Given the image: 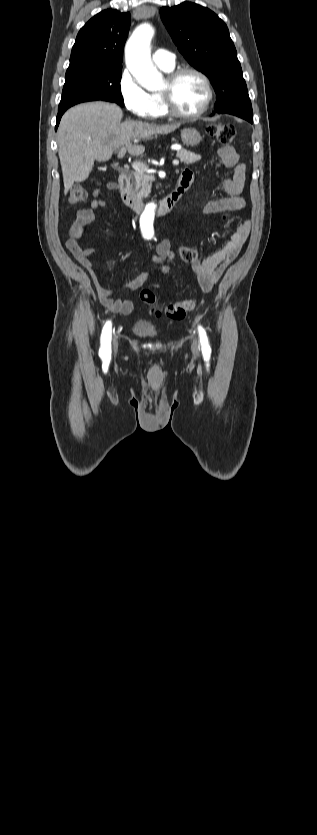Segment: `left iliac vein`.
Here are the masks:
<instances>
[{"label":"left iliac vein","instance_id":"4c4485c4","mask_svg":"<svg viewBox=\"0 0 317 835\" xmlns=\"http://www.w3.org/2000/svg\"><path fill=\"white\" fill-rule=\"evenodd\" d=\"M191 349H192V352L194 353V355L197 356L198 351H199L197 340H193Z\"/></svg>","mask_w":317,"mask_h":835}]
</instances>
